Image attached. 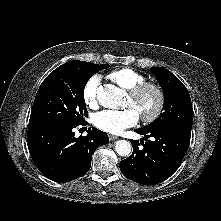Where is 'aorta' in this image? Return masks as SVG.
Here are the masks:
<instances>
[{
	"label": "aorta",
	"instance_id": "762f6f07",
	"mask_svg": "<svg viewBox=\"0 0 221 221\" xmlns=\"http://www.w3.org/2000/svg\"><path fill=\"white\" fill-rule=\"evenodd\" d=\"M123 97V91L114 85H106L98 92V101L105 108L116 109L120 107ZM115 151L120 156H129L132 145L126 140H118L115 143Z\"/></svg>",
	"mask_w": 221,
	"mask_h": 221
}]
</instances>
